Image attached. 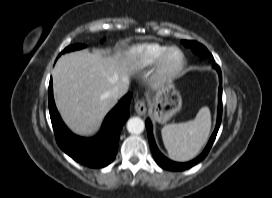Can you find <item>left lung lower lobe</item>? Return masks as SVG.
<instances>
[{
    "label": "left lung lower lobe",
    "mask_w": 272,
    "mask_h": 198,
    "mask_svg": "<svg viewBox=\"0 0 272 198\" xmlns=\"http://www.w3.org/2000/svg\"><path fill=\"white\" fill-rule=\"evenodd\" d=\"M218 74H219V104H218V116H217V124H216V128L206 146V148L204 149V151L194 160L187 162V163H177V162H173L169 159H167L164 155H162L160 153V151L158 150L154 138H153V133H152V125L149 119L146 120L145 124H146V128L148 130V139H149V144L151 147V151L152 154L154 156L155 161L158 163L159 166H161L164 169H168V170H173V171H182L185 169H188L194 165H196L198 162H200L201 160H203L206 155L208 154L214 140L215 137L217 135L220 123H221V117H222V75H221V70L219 68L218 65H214L213 66Z\"/></svg>",
    "instance_id": "left-lung-lower-lobe-1"
}]
</instances>
